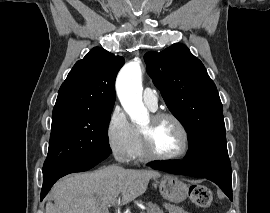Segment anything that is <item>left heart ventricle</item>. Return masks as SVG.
<instances>
[{
  "mask_svg": "<svg viewBox=\"0 0 270 213\" xmlns=\"http://www.w3.org/2000/svg\"><path fill=\"white\" fill-rule=\"evenodd\" d=\"M141 128L151 129L152 147L158 154L173 155L183 146L182 133L171 119L166 118L153 124L150 117Z\"/></svg>",
  "mask_w": 270,
  "mask_h": 213,
  "instance_id": "1",
  "label": "left heart ventricle"
}]
</instances>
